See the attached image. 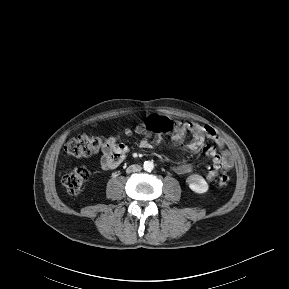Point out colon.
<instances>
[{
  "label": "colon",
  "instance_id": "colon-1",
  "mask_svg": "<svg viewBox=\"0 0 289 289\" xmlns=\"http://www.w3.org/2000/svg\"><path fill=\"white\" fill-rule=\"evenodd\" d=\"M143 128L148 133L157 131L163 134H170L175 129V122L170 117H163L159 113H152L143 121ZM106 139L102 136H90L80 134L71 138L65 145V152L71 156H89L99 152L104 146ZM88 178V171L85 167L79 166L65 173L62 177V184L70 194L80 192ZM230 181L229 174H223L218 180V186L224 187Z\"/></svg>",
  "mask_w": 289,
  "mask_h": 289
}]
</instances>
